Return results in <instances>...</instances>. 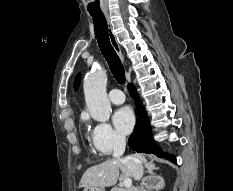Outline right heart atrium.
<instances>
[{"mask_svg": "<svg viewBox=\"0 0 233 191\" xmlns=\"http://www.w3.org/2000/svg\"><path fill=\"white\" fill-rule=\"evenodd\" d=\"M92 141L96 151L106 156L121 148L125 138L108 123H98L93 129Z\"/></svg>", "mask_w": 233, "mask_h": 191, "instance_id": "right-heart-atrium-1", "label": "right heart atrium"}]
</instances>
